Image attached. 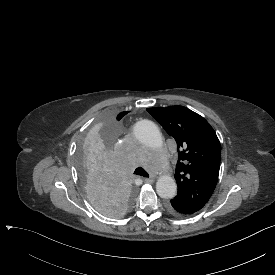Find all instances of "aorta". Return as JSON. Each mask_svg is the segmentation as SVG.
Masks as SVG:
<instances>
[{"instance_id":"1","label":"aorta","mask_w":275,"mask_h":275,"mask_svg":"<svg viewBox=\"0 0 275 275\" xmlns=\"http://www.w3.org/2000/svg\"><path fill=\"white\" fill-rule=\"evenodd\" d=\"M133 132L139 141L148 145L161 144V134L153 121L141 119L134 125ZM156 191L162 199H172L177 194V186L170 176L161 177L156 183Z\"/></svg>"}]
</instances>
